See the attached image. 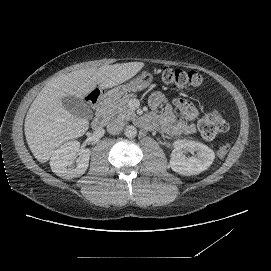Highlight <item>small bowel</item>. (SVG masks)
<instances>
[{"label": "small bowel", "mask_w": 271, "mask_h": 271, "mask_svg": "<svg viewBox=\"0 0 271 271\" xmlns=\"http://www.w3.org/2000/svg\"><path fill=\"white\" fill-rule=\"evenodd\" d=\"M149 105L154 110L162 108L158 122L168 134L180 136L192 135L196 132L195 120L199 111L190 101L182 98L168 101L163 93L154 92L149 97ZM175 110H178L180 117L176 116Z\"/></svg>", "instance_id": "1"}]
</instances>
